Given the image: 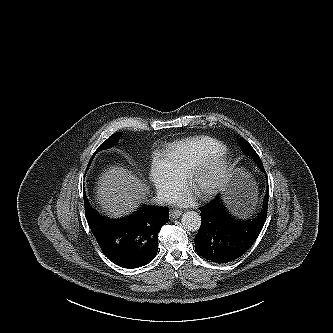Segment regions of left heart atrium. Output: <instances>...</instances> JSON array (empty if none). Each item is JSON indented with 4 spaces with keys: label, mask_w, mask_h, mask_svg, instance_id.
Listing matches in <instances>:
<instances>
[{
    "label": "left heart atrium",
    "mask_w": 333,
    "mask_h": 333,
    "mask_svg": "<svg viewBox=\"0 0 333 333\" xmlns=\"http://www.w3.org/2000/svg\"><path fill=\"white\" fill-rule=\"evenodd\" d=\"M172 200L179 204H188L191 200V196L188 193H178L172 198Z\"/></svg>",
    "instance_id": "obj_1"
}]
</instances>
